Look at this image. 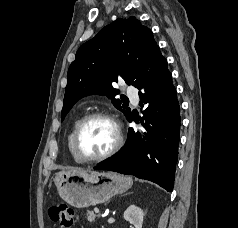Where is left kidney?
<instances>
[{"label": "left kidney", "mask_w": 238, "mask_h": 228, "mask_svg": "<svg viewBox=\"0 0 238 228\" xmlns=\"http://www.w3.org/2000/svg\"><path fill=\"white\" fill-rule=\"evenodd\" d=\"M126 221H129L135 228H142L144 213L136 205H130L123 215Z\"/></svg>", "instance_id": "1"}]
</instances>
